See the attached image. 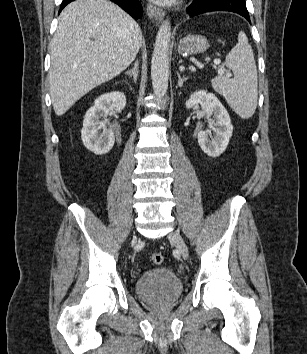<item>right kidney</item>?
<instances>
[{
	"mask_svg": "<svg viewBox=\"0 0 307 354\" xmlns=\"http://www.w3.org/2000/svg\"><path fill=\"white\" fill-rule=\"evenodd\" d=\"M126 97L122 92H110L99 96L88 109L83 120L81 139L84 146L96 155L108 153L115 142L114 133L107 129L102 118L112 110H122Z\"/></svg>",
	"mask_w": 307,
	"mask_h": 354,
	"instance_id": "right-kidney-1",
	"label": "right kidney"
}]
</instances>
